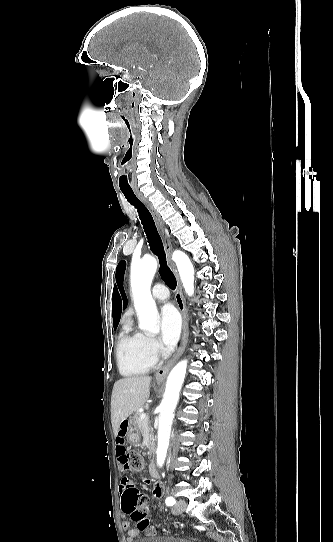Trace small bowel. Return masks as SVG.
Listing matches in <instances>:
<instances>
[{"label": "small bowel", "instance_id": "obj_1", "mask_svg": "<svg viewBox=\"0 0 333 542\" xmlns=\"http://www.w3.org/2000/svg\"><path fill=\"white\" fill-rule=\"evenodd\" d=\"M129 430L128 422L122 421L118 430V435L116 439V445H117V458L118 463L120 464L121 468L127 467V453L125 450L126 445V437ZM150 480H145L144 485H150ZM131 483L126 477H121L119 480V495L122 502L123 497H130V490H131ZM164 484L156 480L153 482L152 487V497L156 500L160 499L164 494ZM143 498L146 496L144 493L141 495ZM123 514L121 515V518L123 520H126L128 518V515L126 513L127 509L122 507ZM126 512V513H125ZM122 526L127 534V542H139V531L135 528H133L129 521H123Z\"/></svg>", "mask_w": 333, "mask_h": 542}]
</instances>
